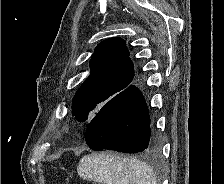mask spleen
<instances>
[{
	"instance_id": "1",
	"label": "spleen",
	"mask_w": 224,
	"mask_h": 184,
	"mask_svg": "<svg viewBox=\"0 0 224 184\" xmlns=\"http://www.w3.org/2000/svg\"><path fill=\"white\" fill-rule=\"evenodd\" d=\"M77 172L83 180L101 184H157L153 170L146 163L117 154L85 155Z\"/></svg>"
}]
</instances>
